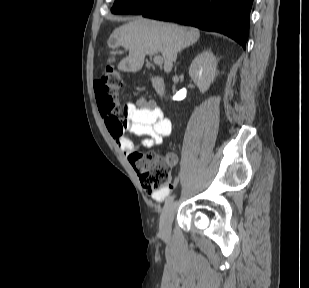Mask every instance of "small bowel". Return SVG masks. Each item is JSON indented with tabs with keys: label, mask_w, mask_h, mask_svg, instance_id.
Listing matches in <instances>:
<instances>
[{
	"label": "small bowel",
	"mask_w": 309,
	"mask_h": 288,
	"mask_svg": "<svg viewBox=\"0 0 309 288\" xmlns=\"http://www.w3.org/2000/svg\"><path fill=\"white\" fill-rule=\"evenodd\" d=\"M129 106L130 114L125 122L119 123L109 118H104V120L108 133L116 141L119 148L128 155L131 165L136 168L131 161V156L138 151V147L126 133L141 137L142 147L154 148L162 143L163 138L170 135L172 122L164 116L162 109L153 100L140 98L137 105L129 103ZM167 161L171 166H176L178 156L174 152H169ZM170 190L165 189L160 193L152 194L151 198L155 202H162L168 196Z\"/></svg>",
	"instance_id": "obj_1"
}]
</instances>
